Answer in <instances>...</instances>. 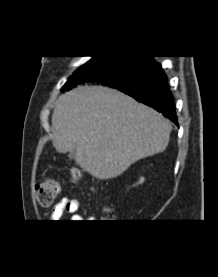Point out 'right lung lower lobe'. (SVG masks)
Returning a JSON list of instances; mask_svg holds the SVG:
<instances>
[{
    "label": "right lung lower lobe",
    "instance_id": "right-lung-lower-lobe-1",
    "mask_svg": "<svg viewBox=\"0 0 218 277\" xmlns=\"http://www.w3.org/2000/svg\"><path fill=\"white\" fill-rule=\"evenodd\" d=\"M86 82H101V80L98 74L89 73L82 77L79 84ZM116 89L161 112L177 124L173 96L168 88L167 77L160 64L155 62L139 78L129 84L116 87Z\"/></svg>",
    "mask_w": 218,
    "mask_h": 277
}]
</instances>
